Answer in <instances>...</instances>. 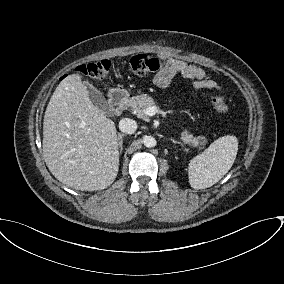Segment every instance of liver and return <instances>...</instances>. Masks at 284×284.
I'll return each instance as SVG.
<instances>
[{"label": "liver", "mask_w": 284, "mask_h": 284, "mask_svg": "<svg viewBox=\"0 0 284 284\" xmlns=\"http://www.w3.org/2000/svg\"><path fill=\"white\" fill-rule=\"evenodd\" d=\"M43 157L63 184L81 191L110 186L119 169L115 123L93 105L79 74L56 87L43 121Z\"/></svg>", "instance_id": "6515ba94"}]
</instances>
